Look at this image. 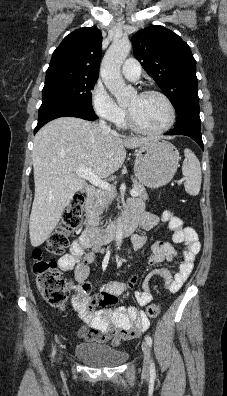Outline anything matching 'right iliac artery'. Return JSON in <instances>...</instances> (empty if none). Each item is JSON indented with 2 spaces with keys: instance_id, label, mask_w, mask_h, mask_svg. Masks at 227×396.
<instances>
[{
  "instance_id": "1",
  "label": "right iliac artery",
  "mask_w": 227,
  "mask_h": 396,
  "mask_svg": "<svg viewBox=\"0 0 227 396\" xmlns=\"http://www.w3.org/2000/svg\"><path fill=\"white\" fill-rule=\"evenodd\" d=\"M54 354H55V349L53 350L52 356H54Z\"/></svg>"
}]
</instances>
